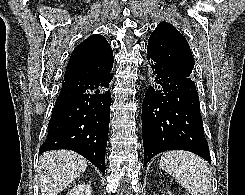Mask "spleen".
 I'll use <instances>...</instances> for the list:
<instances>
[{"label":"spleen","mask_w":245,"mask_h":195,"mask_svg":"<svg viewBox=\"0 0 245 195\" xmlns=\"http://www.w3.org/2000/svg\"><path fill=\"white\" fill-rule=\"evenodd\" d=\"M159 166L172 175L190 195H210L211 173L207 162L185 151L165 152Z\"/></svg>","instance_id":"1"}]
</instances>
